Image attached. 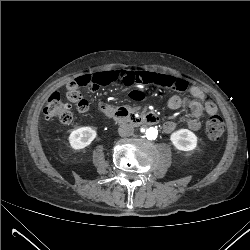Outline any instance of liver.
<instances>
[{
  "mask_svg": "<svg viewBox=\"0 0 250 250\" xmlns=\"http://www.w3.org/2000/svg\"><path fill=\"white\" fill-rule=\"evenodd\" d=\"M52 104H53V101H52V102H49V103L47 104V107H48V114H47L46 116H48L49 118H48V119H45L46 121H49V119L55 115V111H54L53 109H52V110L50 109V107H51Z\"/></svg>",
  "mask_w": 250,
  "mask_h": 250,
  "instance_id": "1",
  "label": "liver"
}]
</instances>
